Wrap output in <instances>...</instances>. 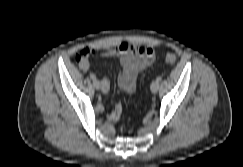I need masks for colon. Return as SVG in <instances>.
Listing matches in <instances>:
<instances>
[{"mask_svg":"<svg viewBox=\"0 0 243 167\" xmlns=\"http://www.w3.org/2000/svg\"><path fill=\"white\" fill-rule=\"evenodd\" d=\"M90 55V49H80L76 52L75 58L78 62L85 60ZM165 60L168 64H174L176 62V56L172 53H168L165 56Z\"/></svg>","mask_w":243,"mask_h":167,"instance_id":"1","label":"colon"}]
</instances>
